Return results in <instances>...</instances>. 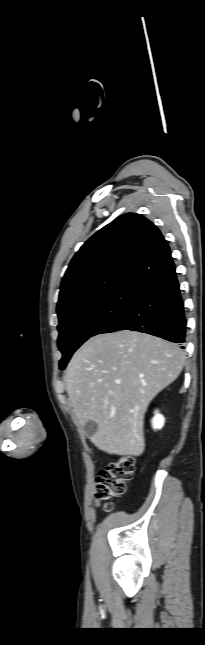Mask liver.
<instances>
[{
    "label": "liver",
    "instance_id": "6515ba94",
    "mask_svg": "<svg viewBox=\"0 0 205 645\" xmlns=\"http://www.w3.org/2000/svg\"><path fill=\"white\" fill-rule=\"evenodd\" d=\"M184 363L178 345L141 332L87 340L67 366L66 389L80 426L97 423L91 442L110 454L140 456L147 407L177 379Z\"/></svg>",
    "mask_w": 205,
    "mask_h": 645
}]
</instances>
